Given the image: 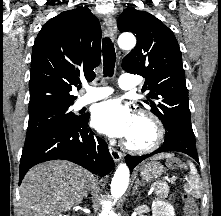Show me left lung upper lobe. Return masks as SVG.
Here are the masks:
<instances>
[{"mask_svg":"<svg viewBox=\"0 0 221 216\" xmlns=\"http://www.w3.org/2000/svg\"><path fill=\"white\" fill-rule=\"evenodd\" d=\"M117 25L120 31L137 36V45L123 59L122 68L145 78L142 90L149 93L142 103L162 121L165 139L195 140L181 51L173 32L155 16L133 7L122 12Z\"/></svg>","mask_w":221,"mask_h":216,"instance_id":"5c2ea615","label":"left lung upper lobe"}]
</instances>
